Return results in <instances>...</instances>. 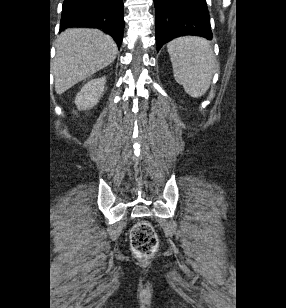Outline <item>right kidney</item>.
Wrapping results in <instances>:
<instances>
[{"label": "right kidney", "mask_w": 286, "mask_h": 308, "mask_svg": "<svg viewBox=\"0 0 286 308\" xmlns=\"http://www.w3.org/2000/svg\"><path fill=\"white\" fill-rule=\"evenodd\" d=\"M106 78L90 80L86 83L76 95L75 104L79 110L93 108L100 100L104 91Z\"/></svg>", "instance_id": "1"}]
</instances>
